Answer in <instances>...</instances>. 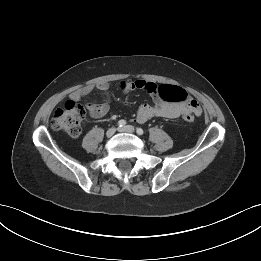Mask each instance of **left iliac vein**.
<instances>
[{"label":"left iliac vein","instance_id":"1","mask_svg":"<svg viewBox=\"0 0 261 261\" xmlns=\"http://www.w3.org/2000/svg\"><path fill=\"white\" fill-rule=\"evenodd\" d=\"M120 132H127V133H133L135 131L134 127L131 125L124 126L123 128L119 129Z\"/></svg>","mask_w":261,"mask_h":261}]
</instances>
